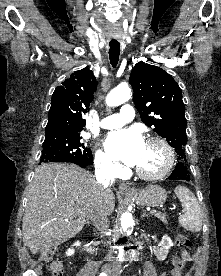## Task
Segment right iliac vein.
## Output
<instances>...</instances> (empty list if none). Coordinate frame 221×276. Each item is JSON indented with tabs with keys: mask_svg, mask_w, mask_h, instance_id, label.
Segmentation results:
<instances>
[{
	"mask_svg": "<svg viewBox=\"0 0 221 276\" xmlns=\"http://www.w3.org/2000/svg\"><path fill=\"white\" fill-rule=\"evenodd\" d=\"M103 270H104L105 272H109L110 269H109V267H104ZM109 276H110V275H109Z\"/></svg>",
	"mask_w": 221,
	"mask_h": 276,
	"instance_id": "obj_1",
	"label": "right iliac vein"
}]
</instances>
